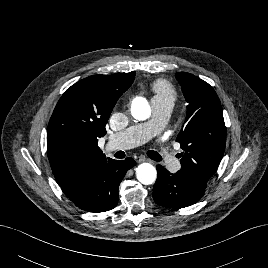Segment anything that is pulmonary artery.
Masks as SVG:
<instances>
[{
	"mask_svg": "<svg viewBox=\"0 0 268 268\" xmlns=\"http://www.w3.org/2000/svg\"><path fill=\"white\" fill-rule=\"evenodd\" d=\"M150 103L153 113L152 119L145 123L132 125L125 131L112 134L107 144L110 150H127L143 143L156 135L167 123L172 111V105L157 98H152ZM157 150L165 157L167 165L176 163L177 160L172 156L170 149L166 145H159Z\"/></svg>",
	"mask_w": 268,
	"mask_h": 268,
	"instance_id": "pulmonary-artery-1",
	"label": "pulmonary artery"
}]
</instances>
